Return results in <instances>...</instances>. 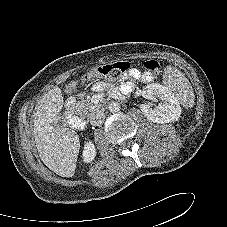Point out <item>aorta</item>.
I'll return each instance as SVG.
<instances>
[{
  "instance_id": "762f6f07",
  "label": "aorta",
  "mask_w": 227,
  "mask_h": 227,
  "mask_svg": "<svg viewBox=\"0 0 227 227\" xmlns=\"http://www.w3.org/2000/svg\"><path fill=\"white\" fill-rule=\"evenodd\" d=\"M108 110L112 113H116L120 110V103L118 101H111L108 105Z\"/></svg>"
}]
</instances>
